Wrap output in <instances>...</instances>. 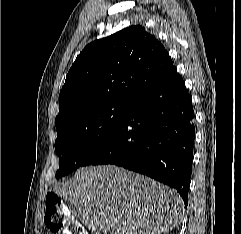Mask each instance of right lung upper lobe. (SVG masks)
I'll return each instance as SVG.
<instances>
[{
    "label": "right lung upper lobe",
    "mask_w": 241,
    "mask_h": 234,
    "mask_svg": "<svg viewBox=\"0 0 241 234\" xmlns=\"http://www.w3.org/2000/svg\"><path fill=\"white\" fill-rule=\"evenodd\" d=\"M173 67L162 43L140 25L88 44L60 91L56 128L93 106L130 104Z\"/></svg>",
    "instance_id": "right-lung-upper-lobe-1"
}]
</instances>
